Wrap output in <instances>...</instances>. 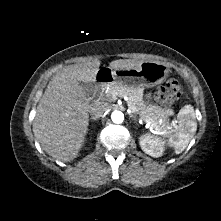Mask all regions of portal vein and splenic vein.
Masks as SVG:
<instances>
[{
  "label": "portal vein and splenic vein",
  "instance_id": "obj_1",
  "mask_svg": "<svg viewBox=\"0 0 221 221\" xmlns=\"http://www.w3.org/2000/svg\"><path fill=\"white\" fill-rule=\"evenodd\" d=\"M172 124H173V126H175V125H176V121H173ZM148 125H149L150 127H152V125H151L150 122H148Z\"/></svg>",
  "mask_w": 221,
  "mask_h": 221
}]
</instances>
